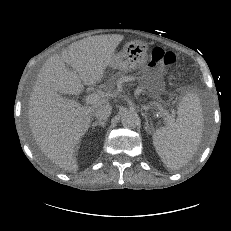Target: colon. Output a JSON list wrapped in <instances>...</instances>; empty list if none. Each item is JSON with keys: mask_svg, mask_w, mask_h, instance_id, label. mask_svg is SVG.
<instances>
[{"mask_svg": "<svg viewBox=\"0 0 231 231\" xmlns=\"http://www.w3.org/2000/svg\"><path fill=\"white\" fill-rule=\"evenodd\" d=\"M175 61L176 55L173 52L164 51L161 48H154L146 63L149 67H155L157 65L171 66Z\"/></svg>", "mask_w": 231, "mask_h": 231, "instance_id": "colon-1", "label": "colon"}]
</instances>
